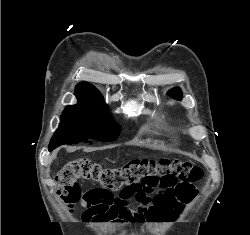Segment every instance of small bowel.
Returning a JSON list of instances; mask_svg holds the SVG:
<instances>
[{"label":"small bowel","instance_id":"obj_1","mask_svg":"<svg viewBox=\"0 0 250 235\" xmlns=\"http://www.w3.org/2000/svg\"><path fill=\"white\" fill-rule=\"evenodd\" d=\"M147 222H164L177 218L185 209L186 202L180 200L173 187L159 188L153 192L135 194Z\"/></svg>","mask_w":250,"mask_h":235}]
</instances>
